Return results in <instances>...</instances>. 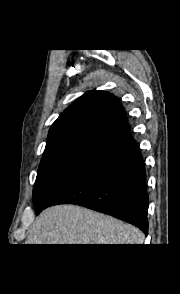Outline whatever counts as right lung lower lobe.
<instances>
[{
    "label": "right lung lower lobe",
    "instance_id": "98d812e1",
    "mask_svg": "<svg viewBox=\"0 0 180 294\" xmlns=\"http://www.w3.org/2000/svg\"><path fill=\"white\" fill-rule=\"evenodd\" d=\"M56 204H77L112 215L147 235L146 172L127 123L102 140L36 214Z\"/></svg>",
    "mask_w": 180,
    "mask_h": 294
}]
</instances>
